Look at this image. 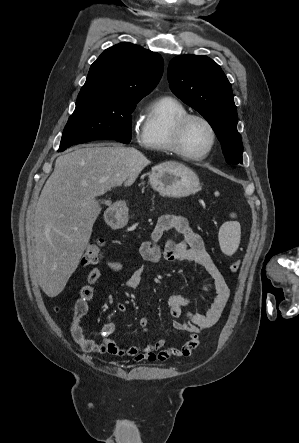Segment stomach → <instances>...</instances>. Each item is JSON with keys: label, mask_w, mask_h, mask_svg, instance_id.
Listing matches in <instances>:
<instances>
[{"label": "stomach", "mask_w": 299, "mask_h": 443, "mask_svg": "<svg viewBox=\"0 0 299 443\" xmlns=\"http://www.w3.org/2000/svg\"><path fill=\"white\" fill-rule=\"evenodd\" d=\"M152 188L161 195L181 198L199 190V178L190 168L178 164H160L152 168L149 174ZM108 222L114 228H121L128 222V209L124 204H117L113 217Z\"/></svg>", "instance_id": "stomach-1"}]
</instances>
